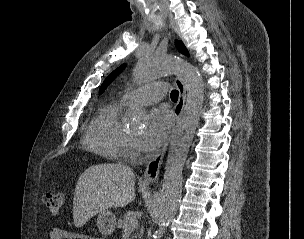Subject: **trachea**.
Instances as JSON below:
<instances>
[{
  "mask_svg": "<svg viewBox=\"0 0 304 239\" xmlns=\"http://www.w3.org/2000/svg\"><path fill=\"white\" fill-rule=\"evenodd\" d=\"M151 2V1H150ZM150 17L152 19H155L157 17V14L155 12H152L150 14ZM178 95H179V92L177 90H172L171 91V100L172 101H177L178 100Z\"/></svg>",
  "mask_w": 304,
  "mask_h": 239,
  "instance_id": "obj_1",
  "label": "trachea"
}]
</instances>
